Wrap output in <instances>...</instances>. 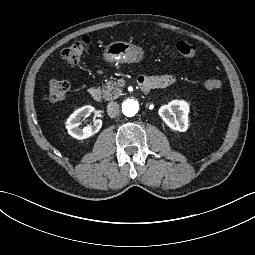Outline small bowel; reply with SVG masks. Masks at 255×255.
Segmentation results:
<instances>
[{
	"label": "small bowel",
	"mask_w": 255,
	"mask_h": 255,
	"mask_svg": "<svg viewBox=\"0 0 255 255\" xmlns=\"http://www.w3.org/2000/svg\"><path fill=\"white\" fill-rule=\"evenodd\" d=\"M149 81H151L155 87L164 88L175 81V76L173 74H165L159 77H153Z\"/></svg>",
	"instance_id": "small-bowel-1"
}]
</instances>
